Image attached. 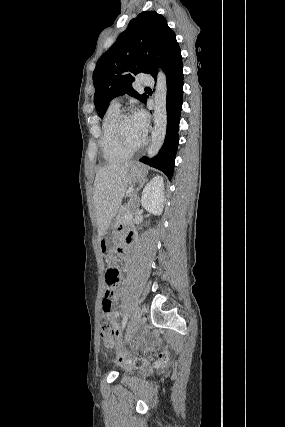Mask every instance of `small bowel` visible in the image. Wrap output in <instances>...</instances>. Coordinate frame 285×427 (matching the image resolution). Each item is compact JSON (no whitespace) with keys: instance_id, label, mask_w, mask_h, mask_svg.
<instances>
[{"instance_id":"1","label":"small bowel","mask_w":285,"mask_h":427,"mask_svg":"<svg viewBox=\"0 0 285 427\" xmlns=\"http://www.w3.org/2000/svg\"><path fill=\"white\" fill-rule=\"evenodd\" d=\"M132 233H128L126 237V241L130 242ZM120 306V294L118 288L112 289L109 293H105L103 299H102V311L104 314L107 312L116 309V307Z\"/></svg>"}]
</instances>
